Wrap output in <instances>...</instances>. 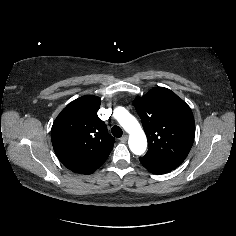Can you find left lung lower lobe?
I'll list each match as a JSON object with an SVG mask.
<instances>
[{"label": "left lung lower lobe", "instance_id": "obj_1", "mask_svg": "<svg viewBox=\"0 0 236 236\" xmlns=\"http://www.w3.org/2000/svg\"><path fill=\"white\" fill-rule=\"evenodd\" d=\"M148 171H150L151 173H154V174H165V173H168L172 170H166V169H155V168H152V167H149V166H146V165H143Z\"/></svg>", "mask_w": 236, "mask_h": 236}]
</instances>
